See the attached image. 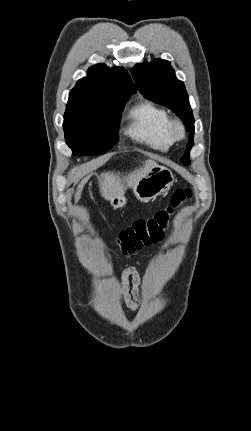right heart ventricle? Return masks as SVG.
I'll list each match as a JSON object with an SVG mask.
<instances>
[{
    "label": "right heart ventricle",
    "instance_id": "1",
    "mask_svg": "<svg viewBox=\"0 0 251 431\" xmlns=\"http://www.w3.org/2000/svg\"><path fill=\"white\" fill-rule=\"evenodd\" d=\"M127 134L136 141L160 151H167L173 144L168 130L167 111L151 101L136 104L129 112Z\"/></svg>",
    "mask_w": 251,
    "mask_h": 431
}]
</instances>
